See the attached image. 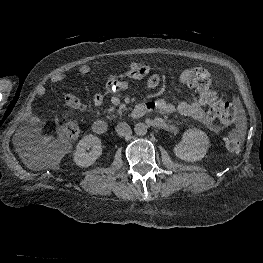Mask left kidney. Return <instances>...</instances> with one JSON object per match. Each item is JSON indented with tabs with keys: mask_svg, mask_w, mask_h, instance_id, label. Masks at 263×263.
<instances>
[{
	"mask_svg": "<svg viewBox=\"0 0 263 263\" xmlns=\"http://www.w3.org/2000/svg\"><path fill=\"white\" fill-rule=\"evenodd\" d=\"M209 148V138L200 129L191 128L184 132L182 141L174 147L175 155L187 162L201 160Z\"/></svg>",
	"mask_w": 263,
	"mask_h": 263,
	"instance_id": "obj_1",
	"label": "left kidney"
}]
</instances>
